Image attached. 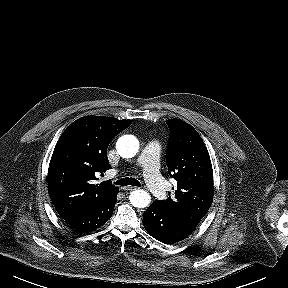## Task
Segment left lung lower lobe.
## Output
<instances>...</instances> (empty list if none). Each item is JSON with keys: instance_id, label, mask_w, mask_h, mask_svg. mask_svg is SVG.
Returning a JSON list of instances; mask_svg holds the SVG:
<instances>
[{"instance_id": "obj_1", "label": "left lung lower lobe", "mask_w": 288, "mask_h": 288, "mask_svg": "<svg viewBox=\"0 0 288 288\" xmlns=\"http://www.w3.org/2000/svg\"><path fill=\"white\" fill-rule=\"evenodd\" d=\"M143 225L151 236L165 244L187 238L196 227V224L167 212L156 201L144 212Z\"/></svg>"}]
</instances>
